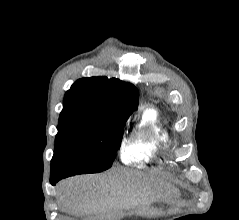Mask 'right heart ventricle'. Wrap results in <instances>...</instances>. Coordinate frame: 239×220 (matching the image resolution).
<instances>
[{
    "mask_svg": "<svg viewBox=\"0 0 239 220\" xmlns=\"http://www.w3.org/2000/svg\"><path fill=\"white\" fill-rule=\"evenodd\" d=\"M168 141L158 111L146 108L138 117L132 138L121 149V160L125 164L147 163L163 152Z\"/></svg>",
    "mask_w": 239,
    "mask_h": 220,
    "instance_id": "e07e8e85",
    "label": "right heart ventricle"
}]
</instances>
